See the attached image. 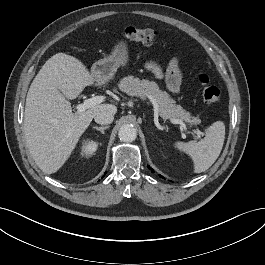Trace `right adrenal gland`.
<instances>
[{
  "label": "right adrenal gland",
  "mask_w": 265,
  "mask_h": 265,
  "mask_svg": "<svg viewBox=\"0 0 265 265\" xmlns=\"http://www.w3.org/2000/svg\"><path fill=\"white\" fill-rule=\"evenodd\" d=\"M109 126H102V127H98V126H94L93 129H96L97 131H100L102 134H104V130L108 129Z\"/></svg>",
  "instance_id": "obj_1"
}]
</instances>
